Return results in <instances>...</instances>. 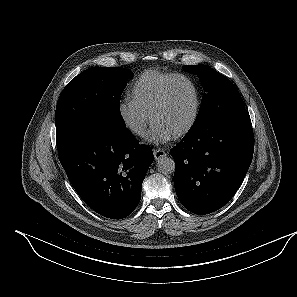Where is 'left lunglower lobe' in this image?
I'll return each instance as SVG.
<instances>
[{"instance_id": "left-lung-lower-lobe-1", "label": "left lung lower lobe", "mask_w": 297, "mask_h": 297, "mask_svg": "<svg viewBox=\"0 0 297 297\" xmlns=\"http://www.w3.org/2000/svg\"><path fill=\"white\" fill-rule=\"evenodd\" d=\"M254 151L246 109L230 112L204 127L189 130L171 149L174 185L182 205L192 213H212L234 196Z\"/></svg>"}]
</instances>
